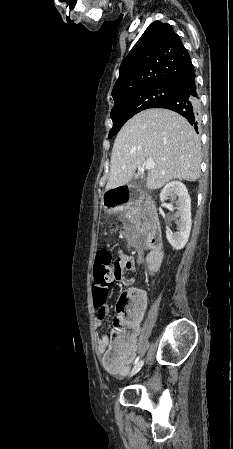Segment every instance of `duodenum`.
Returning <instances> with one entry per match:
<instances>
[{"instance_id":"1","label":"duodenum","mask_w":233,"mask_h":449,"mask_svg":"<svg viewBox=\"0 0 233 449\" xmlns=\"http://www.w3.org/2000/svg\"><path fill=\"white\" fill-rule=\"evenodd\" d=\"M104 206H140L142 210L139 220L146 235L151 252L148 256V270L155 272L162 259L161 233L153 200L145 193L138 192L133 186H110L109 191L103 193Z\"/></svg>"}]
</instances>
